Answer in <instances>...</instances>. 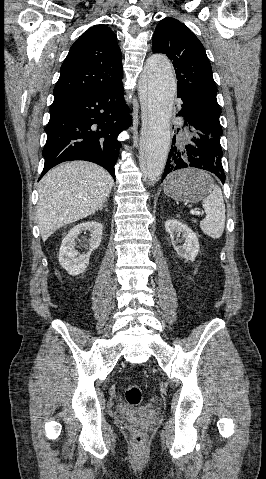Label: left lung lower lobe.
I'll use <instances>...</instances> for the list:
<instances>
[{
    "instance_id": "1",
    "label": "left lung lower lobe",
    "mask_w": 266,
    "mask_h": 479,
    "mask_svg": "<svg viewBox=\"0 0 266 479\" xmlns=\"http://www.w3.org/2000/svg\"><path fill=\"white\" fill-rule=\"evenodd\" d=\"M182 102L177 115L184 117L185 138L176 143V137H173L162 181L175 170L195 167L214 173L224 183L226 176L221 162L220 136L190 103L185 99Z\"/></svg>"
}]
</instances>
